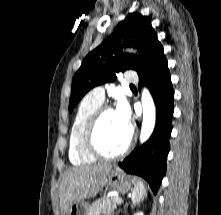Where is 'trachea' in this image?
<instances>
[{"label": "trachea", "mask_w": 221, "mask_h": 215, "mask_svg": "<svg viewBox=\"0 0 221 215\" xmlns=\"http://www.w3.org/2000/svg\"><path fill=\"white\" fill-rule=\"evenodd\" d=\"M130 87H134V85H130Z\"/></svg>", "instance_id": "obj_1"}]
</instances>
